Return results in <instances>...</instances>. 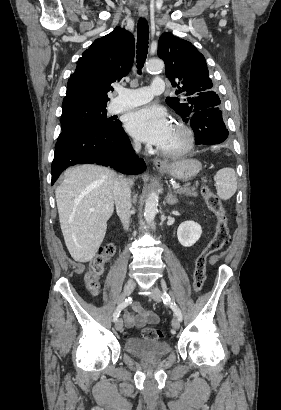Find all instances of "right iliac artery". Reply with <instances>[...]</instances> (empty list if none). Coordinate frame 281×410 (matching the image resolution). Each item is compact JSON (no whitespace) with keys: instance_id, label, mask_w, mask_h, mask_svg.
Wrapping results in <instances>:
<instances>
[{"instance_id":"obj_1","label":"right iliac artery","mask_w":281,"mask_h":410,"mask_svg":"<svg viewBox=\"0 0 281 410\" xmlns=\"http://www.w3.org/2000/svg\"><path fill=\"white\" fill-rule=\"evenodd\" d=\"M132 303V298L128 297L124 301H121L116 307L115 312L113 313V321H116L119 317L120 312Z\"/></svg>"}]
</instances>
